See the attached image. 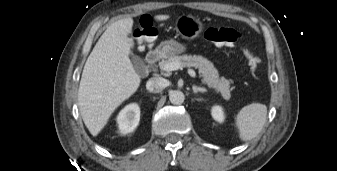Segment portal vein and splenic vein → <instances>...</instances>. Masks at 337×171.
<instances>
[{"instance_id": "1", "label": "portal vein and splenic vein", "mask_w": 337, "mask_h": 171, "mask_svg": "<svg viewBox=\"0 0 337 171\" xmlns=\"http://www.w3.org/2000/svg\"><path fill=\"white\" fill-rule=\"evenodd\" d=\"M180 69V66L178 63L176 62H170V63H167L165 66H164V70L169 72V71H174V70H178ZM188 74L195 78L196 77V72L193 70V69H189L188 70Z\"/></svg>"}]
</instances>
